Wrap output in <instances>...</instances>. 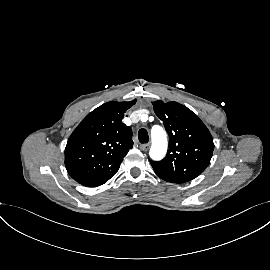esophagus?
I'll list each match as a JSON object with an SVG mask.
<instances>
[{
    "label": "esophagus",
    "instance_id": "obj_1",
    "mask_svg": "<svg viewBox=\"0 0 270 270\" xmlns=\"http://www.w3.org/2000/svg\"><path fill=\"white\" fill-rule=\"evenodd\" d=\"M149 148H150V144L149 143L148 144H141L140 145V149L142 151H147Z\"/></svg>",
    "mask_w": 270,
    "mask_h": 270
}]
</instances>
